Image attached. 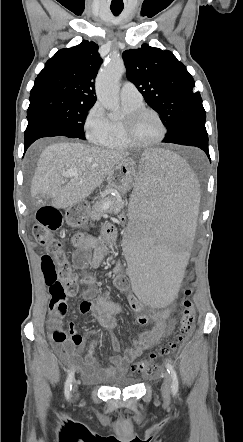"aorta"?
Instances as JSON below:
<instances>
[{
	"instance_id": "aorta-1",
	"label": "aorta",
	"mask_w": 243,
	"mask_h": 442,
	"mask_svg": "<svg viewBox=\"0 0 243 442\" xmlns=\"http://www.w3.org/2000/svg\"><path fill=\"white\" fill-rule=\"evenodd\" d=\"M125 71V65L120 57H111L109 62L100 70L96 78V96L99 102L111 111L119 108L118 83Z\"/></svg>"
}]
</instances>
